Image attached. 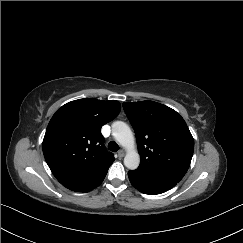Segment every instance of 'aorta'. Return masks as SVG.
Here are the masks:
<instances>
[{"label":"aorta","instance_id":"1","mask_svg":"<svg viewBox=\"0 0 243 243\" xmlns=\"http://www.w3.org/2000/svg\"><path fill=\"white\" fill-rule=\"evenodd\" d=\"M112 135L126 149L124 165L135 170L140 164V156L135 149L134 136L129 126L122 121H116L112 124Z\"/></svg>","mask_w":243,"mask_h":243}]
</instances>
